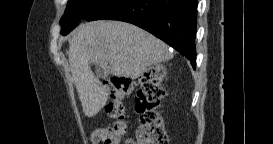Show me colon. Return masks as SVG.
I'll return each mask as SVG.
<instances>
[{
  "label": "colon",
  "instance_id": "obj_1",
  "mask_svg": "<svg viewBox=\"0 0 273 144\" xmlns=\"http://www.w3.org/2000/svg\"><path fill=\"white\" fill-rule=\"evenodd\" d=\"M165 71L160 67H153L136 80L129 77H113L103 85L110 89L112 98L105 109L107 114L115 119L113 125L97 127L92 133L93 144H117L126 130L123 120L125 109L122 98L131 93L133 86H138L136 109L140 114V124L136 131V144H166L168 135L164 127V120L159 111L165 91L161 80Z\"/></svg>",
  "mask_w": 273,
  "mask_h": 144
}]
</instances>
